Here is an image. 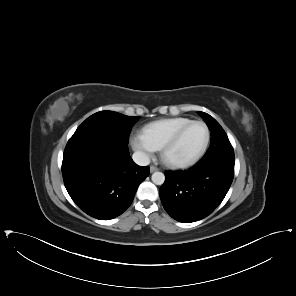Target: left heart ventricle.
<instances>
[{
    "mask_svg": "<svg viewBox=\"0 0 296 296\" xmlns=\"http://www.w3.org/2000/svg\"><path fill=\"white\" fill-rule=\"evenodd\" d=\"M205 129L201 125L187 128L178 141L168 150L167 158L172 161L184 160L198 153L205 141Z\"/></svg>",
    "mask_w": 296,
    "mask_h": 296,
    "instance_id": "obj_1",
    "label": "left heart ventricle"
}]
</instances>
